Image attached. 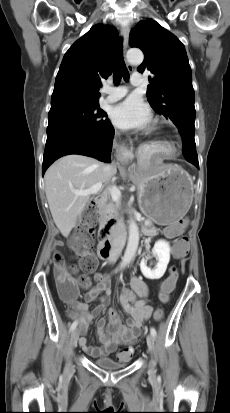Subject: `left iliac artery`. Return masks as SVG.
Wrapping results in <instances>:
<instances>
[{"label": "left iliac artery", "mask_w": 230, "mask_h": 413, "mask_svg": "<svg viewBox=\"0 0 230 413\" xmlns=\"http://www.w3.org/2000/svg\"><path fill=\"white\" fill-rule=\"evenodd\" d=\"M150 332L153 336H156L157 332L154 327H151Z\"/></svg>", "instance_id": "left-iliac-artery-1"}]
</instances>
